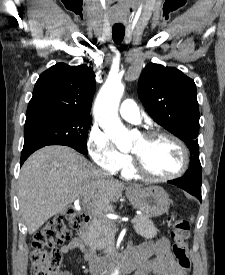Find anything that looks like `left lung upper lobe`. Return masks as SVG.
Masks as SVG:
<instances>
[{
  "label": "left lung upper lobe",
  "mask_w": 225,
  "mask_h": 275,
  "mask_svg": "<svg viewBox=\"0 0 225 275\" xmlns=\"http://www.w3.org/2000/svg\"><path fill=\"white\" fill-rule=\"evenodd\" d=\"M139 97L149 115L190 149L199 165V108L194 81L174 67L148 64L139 79Z\"/></svg>",
  "instance_id": "1"
}]
</instances>
